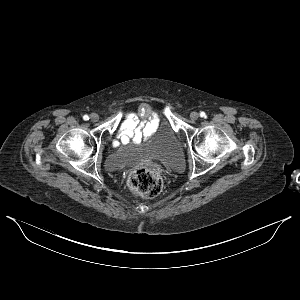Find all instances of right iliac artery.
Wrapping results in <instances>:
<instances>
[{
	"label": "right iliac artery",
	"mask_w": 300,
	"mask_h": 300,
	"mask_svg": "<svg viewBox=\"0 0 300 300\" xmlns=\"http://www.w3.org/2000/svg\"><path fill=\"white\" fill-rule=\"evenodd\" d=\"M83 119H84L85 121L89 120L88 115H84V116H83Z\"/></svg>",
	"instance_id": "82829eb1"
}]
</instances>
